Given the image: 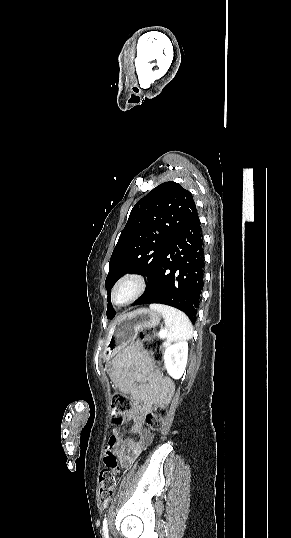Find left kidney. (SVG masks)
<instances>
[{
	"label": "left kidney",
	"instance_id": "obj_1",
	"mask_svg": "<svg viewBox=\"0 0 291 538\" xmlns=\"http://www.w3.org/2000/svg\"><path fill=\"white\" fill-rule=\"evenodd\" d=\"M188 343L179 341L174 344H166L163 359L168 374L174 379L182 377L187 364Z\"/></svg>",
	"mask_w": 291,
	"mask_h": 538
}]
</instances>
